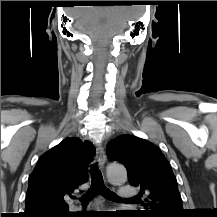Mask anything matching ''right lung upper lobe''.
<instances>
[{
	"label": "right lung upper lobe",
	"instance_id": "cb5924a9",
	"mask_svg": "<svg viewBox=\"0 0 217 217\" xmlns=\"http://www.w3.org/2000/svg\"><path fill=\"white\" fill-rule=\"evenodd\" d=\"M94 146L66 138L38 160L29 177L23 217H72L65 198L87 181Z\"/></svg>",
	"mask_w": 217,
	"mask_h": 217
}]
</instances>
